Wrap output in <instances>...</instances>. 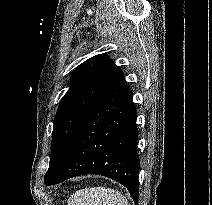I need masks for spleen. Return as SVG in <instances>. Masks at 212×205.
I'll list each match as a JSON object with an SVG mask.
<instances>
[{"label":"spleen","instance_id":"spleen-1","mask_svg":"<svg viewBox=\"0 0 212 205\" xmlns=\"http://www.w3.org/2000/svg\"><path fill=\"white\" fill-rule=\"evenodd\" d=\"M68 205H130L119 191L106 187H92L76 191Z\"/></svg>","mask_w":212,"mask_h":205}]
</instances>
